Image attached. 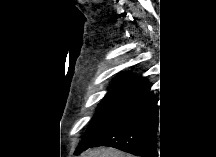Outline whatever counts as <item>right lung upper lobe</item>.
Masks as SVG:
<instances>
[{
	"label": "right lung upper lobe",
	"mask_w": 216,
	"mask_h": 157,
	"mask_svg": "<svg viewBox=\"0 0 216 157\" xmlns=\"http://www.w3.org/2000/svg\"><path fill=\"white\" fill-rule=\"evenodd\" d=\"M149 86L150 83L145 78L125 73L114 81L113 86L108 91L107 95L120 91L138 92Z\"/></svg>",
	"instance_id": "obj_1"
}]
</instances>
